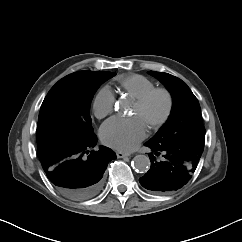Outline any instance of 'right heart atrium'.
Returning <instances> with one entry per match:
<instances>
[{
    "label": "right heart atrium",
    "mask_w": 242,
    "mask_h": 242,
    "mask_svg": "<svg viewBox=\"0 0 242 242\" xmlns=\"http://www.w3.org/2000/svg\"><path fill=\"white\" fill-rule=\"evenodd\" d=\"M115 96L109 87L100 88L92 101V109L97 118L110 114L114 108Z\"/></svg>",
    "instance_id": "obj_1"
}]
</instances>
